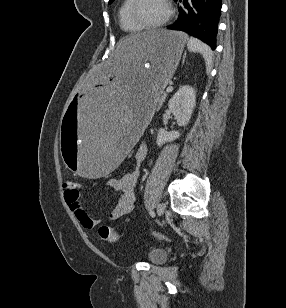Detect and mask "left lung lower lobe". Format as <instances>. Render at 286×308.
Returning a JSON list of instances; mask_svg holds the SVG:
<instances>
[{"label": "left lung lower lobe", "instance_id": "1", "mask_svg": "<svg viewBox=\"0 0 286 308\" xmlns=\"http://www.w3.org/2000/svg\"><path fill=\"white\" fill-rule=\"evenodd\" d=\"M191 2L192 7L187 0H183L185 9L179 8L178 19L168 26V29L185 31L215 50L221 0H191Z\"/></svg>", "mask_w": 286, "mask_h": 308}]
</instances>
